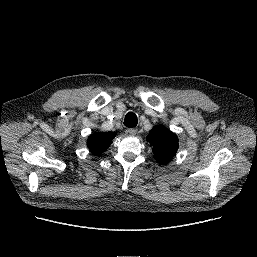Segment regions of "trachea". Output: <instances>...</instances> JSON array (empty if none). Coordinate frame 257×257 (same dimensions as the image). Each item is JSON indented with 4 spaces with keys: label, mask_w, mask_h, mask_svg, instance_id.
Returning <instances> with one entry per match:
<instances>
[{
    "label": "trachea",
    "mask_w": 257,
    "mask_h": 257,
    "mask_svg": "<svg viewBox=\"0 0 257 257\" xmlns=\"http://www.w3.org/2000/svg\"><path fill=\"white\" fill-rule=\"evenodd\" d=\"M138 119L137 116L133 112H129L126 114L124 119V125L129 128H133L137 125Z\"/></svg>",
    "instance_id": "obj_1"
}]
</instances>
